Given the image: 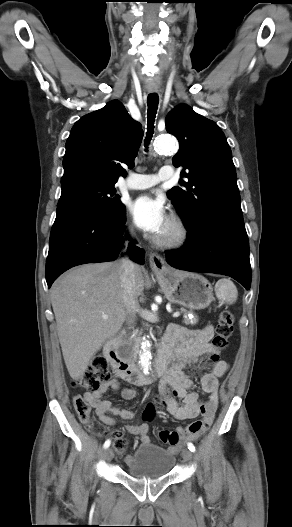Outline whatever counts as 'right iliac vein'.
<instances>
[{
  "label": "right iliac vein",
  "mask_w": 292,
  "mask_h": 527,
  "mask_svg": "<svg viewBox=\"0 0 292 527\" xmlns=\"http://www.w3.org/2000/svg\"><path fill=\"white\" fill-rule=\"evenodd\" d=\"M104 458L107 461H110L113 458V452L110 448L106 449L104 452Z\"/></svg>",
  "instance_id": "obj_1"
}]
</instances>
